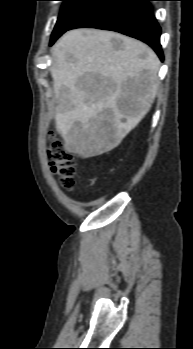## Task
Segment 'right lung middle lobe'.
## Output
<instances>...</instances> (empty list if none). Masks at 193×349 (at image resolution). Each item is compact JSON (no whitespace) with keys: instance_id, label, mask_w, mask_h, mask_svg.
<instances>
[{"instance_id":"dd1d6c3e","label":"right lung middle lobe","mask_w":193,"mask_h":349,"mask_svg":"<svg viewBox=\"0 0 193 349\" xmlns=\"http://www.w3.org/2000/svg\"><path fill=\"white\" fill-rule=\"evenodd\" d=\"M64 1L54 31L52 33L51 42L53 39L63 34L70 26L78 19L86 14L90 9L97 5L102 0H61Z\"/></svg>"}]
</instances>
